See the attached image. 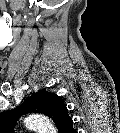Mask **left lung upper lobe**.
Returning <instances> with one entry per match:
<instances>
[{
  "instance_id": "obj_1",
  "label": "left lung upper lobe",
  "mask_w": 120,
  "mask_h": 133,
  "mask_svg": "<svg viewBox=\"0 0 120 133\" xmlns=\"http://www.w3.org/2000/svg\"><path fill=\"white\" fill-rule=\"evenodd\" d=\"M29 103V101H28ZM36 106V109L34 108ZM32 110L31 112H39L46 114L50 117L54 116L53 118H57L58 121H61L62 116H64V109L62 105L58 103L57 99H53V97L49 95H42V97L38 101H34V103L31 105ZM64 120V119H63Z\"/></svg>"
}]
</instances>
